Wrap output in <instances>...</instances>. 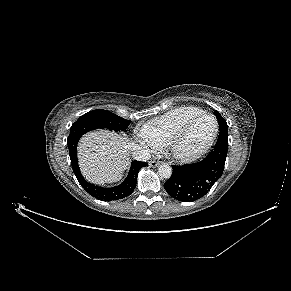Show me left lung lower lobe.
I'll return each mask as SVG.
<instances>
[{"instance_id":"obj_1","label":"left lung lower lobe","mask_w":291,"mask_h":291,"mask_svg":"<svg viewBox=\"0 0 291 291\" xmlns=\"http://www.w3.org/2000/svg\"><path fill=\"white\" fill-rule=\"evenodd\" d=\"M228 150V138L220 133L214 149L200 162L173 165L171 177L164 183L167 193L182 202L205 196L221 177Z\"/></svg>"}]
</instances>
